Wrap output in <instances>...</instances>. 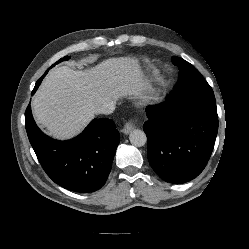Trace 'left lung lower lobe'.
Returning a JSON list of instances; mask_svg holds the SVG:
<instances>
[{"label": "left lung lower lobe", "mask_w": 249, "mask_h": 249, "mask_svg": "<svg viewBox=\"0 0 249 249\" xmlns=\"http://www.w3.org/2000/svg\"><path fill=\"white\" fill-rule=\"evenodd\" d=\"M143 125L148 139V160L166 182L181 184L205 168L218 131L215 100L198 98L180 102L174 93L146 109Z\"/></svg>", "instance_id": "1"}]
</instances>
